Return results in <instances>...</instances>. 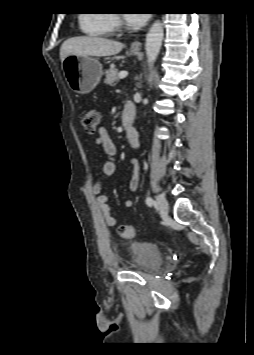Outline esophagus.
I'll return each instance as SVG.
<instances>
[{"label":"esophagus","instance_id":"1","mask_svg":"<svg viewBox=\"0 0 254 355\" xmlns=\"http://www.w3.org/2000/svg\"><path fill=\"white\" fill-rule=\"evenodd\" d=\"M142 44L140 41H134L132 44H131V49L132 50H140Z\"/></svg>","mask_w":254,"mask_h":355}]
</instances>
